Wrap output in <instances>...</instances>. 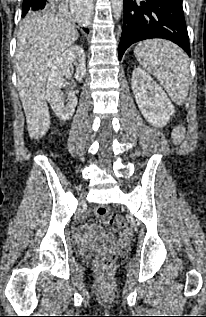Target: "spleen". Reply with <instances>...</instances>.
Here are the masks:
<instances>
[{"label":"spleen","instance_id":"3e777b00","mask_svg":"<svg viewBox=\"0 0 206 317\" xmlns=\"http://www.w3.org/2000/svg\"><path fill=\"white\" fill-rule=\"evenodd\" d=\"M138 62L154 75L178 105L187 98L190 81L189 59L177 45L160 39L140 42L134 49Z\"/></svg>","mask_w":206,"mask_h":317}]
</instances>
